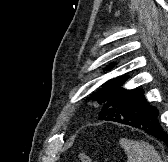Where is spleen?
I'll return each instance as SVG.
<instances>
[{"label":"spleen","instance_id":"spleen-1","mask_svg":"<svg viewBox=\"0 0 168 162\" xmlns=\"http://www.w3.org/2000/svg\"><path fill=\"white\" fill-rule=\"evenodd\" d=\"M120 145L127 155V162H162L152 145L144 141L120 139Z\"/></svg>","mask_w":168,"mask_h":162}]
</instances>
